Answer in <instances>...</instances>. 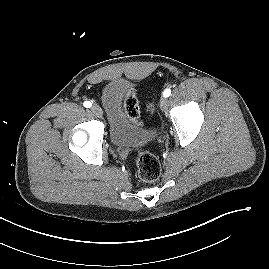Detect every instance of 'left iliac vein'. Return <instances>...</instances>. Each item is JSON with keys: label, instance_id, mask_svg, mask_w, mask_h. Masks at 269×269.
Instances as JSON below:
<instances>
[{"label": "left iliac vein", "instance_id": "obj_1", "mask_svg": "<svg viewBox=\"0 0 269 269\" xmlns=\"http://www.w3.org/2000/svg\"><path fill=\"white\" fill-rule=\"evenodd\" d=\"M160 108L162 111H166L168 108V99L166 97H162L160 100Z\"/></svg>", "mask_w": 269, "mask_h": 269}]
</instances>
